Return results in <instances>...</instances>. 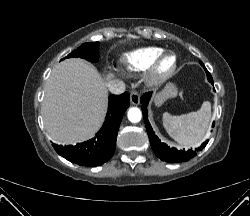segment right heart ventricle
<instances>
[{"label": "right heart ventricle", "instance_id": "obj_1", "mask_svg": "<svg viewBox=\"0 0 250 216\" xmlns=\"http://www.w3.org/2000/svg\"><path fill=\"white\" fill-rule=\"evenodd\" d=\"M164 51V48L155 46L136 49L124 55L123 67L130 72H145L154 58Z\"/></svg>", "mask_w": 250, "mask_h": 216}]
</instances>
